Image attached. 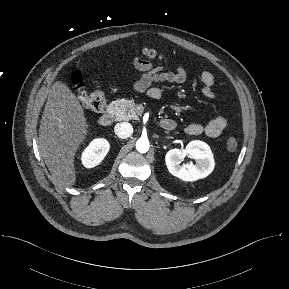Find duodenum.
<instances>
[{
	"label": "duodenum",
	"instance_id": "1",
	"mask_svg": "<svg viewBox=\"0 0 289 289\" xmlns=\"http://www.w3.org/2000/svg\"><path fill=\"white\" fill-rule=\"evenodd\" d=\"M98 122L100 125L105 126V127L111 125L113 122L112 111L107 110V111H104L102 114H100ZM160 125L163 129L169 130V131L175 128V123L171 119L161 120Z\"/></svg>",
	"mask_w": 289,
	"mask_h": 289
}]
</instances>
